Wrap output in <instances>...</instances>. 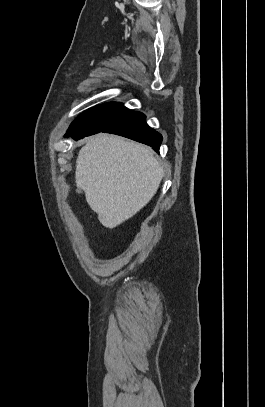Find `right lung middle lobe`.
<instances>
[{"mask_svg": "<svg viewBox=\"0 0 265 407\" xmlns=\"http://www.w3.org/2000/svg\"><path fill=\"white\" fill-rule=\"evenodd\" d=\"M133 111L121 103H106L89 109L79 115L70 125L65 136L83 138L101 132L128 116Z\"/></svg>", "mask_w": 265, "mask_h": 407, "instance_id": "1", "label": "right lung middle lobe"}]
</instances>
